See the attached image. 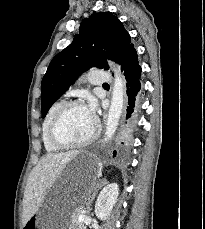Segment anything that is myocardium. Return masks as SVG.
I'll return each instance as SVG.
<instances>
[{"label":"myocardium","instance_id":"f54148a6","mask_svg":"<svg viewBox=\"0 0 205 229\" xmlns=\"http://www.w3.org/2000/svg\"><path fill=\"white\" fill-rule=\"evenodd\" d=\"M75 106H84V104L79 100H70V101L63 102L62 105L58 108V110L56 111V113L53 116V119L51 121L50 128H49V139L51 143L58 148L66 149V148H79V147L86 146L90 144L98 136L100 132L99 120L97 118H94L95 119L94 130L84 140H81L78 142H64V141H61L57 137V134H56L57 128H58V125L63 115L69 108L75 107Z\"/></svg>","mask_w":205,"mask_h":229}]
</instances>
